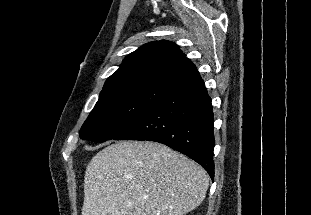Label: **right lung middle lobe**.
Listing matches in <instances>:
<instances>
[{"mask_svg":"<svg viewBox=\"0 0 311 215\" xmlns=\"http://www.w3.org/2000/svg\"><path fill=\"white\" fill-rule=\"evenodd\" d=\"M170 84H127L102 90L80 138L104 142L131 128L161 99Z\"/></svg>","mask_w":311,"mask_h":215,"instance_id":"dd1d6c3e","label":"right lung middle lobe"}]
</instances>
